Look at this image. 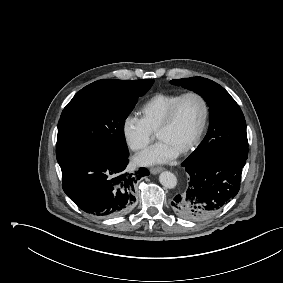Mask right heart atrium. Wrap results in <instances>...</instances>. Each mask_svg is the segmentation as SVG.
Returning a JSON list of instances; mask_svg holds the SVG:
<instances>
[{
    "instance_id": "1",
    "label": "right heart atrium",
    "mask_w": 283,
    "mask_h": 283,
    "mask_svg": "<svg viewBox=\"0 0 283 283\" xmlns=\"http://www.w3.org/2000/svg\"><path fill=\"white\" fill-rule=\"evenodd\" d=\"M121 130L125 143L135 152L145 149L153 139V133L143 120L134 114L125 116Z\"/></svg>"
}]
</instances>
